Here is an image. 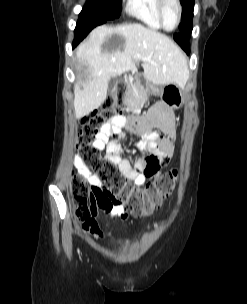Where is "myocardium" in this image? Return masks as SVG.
<instances>
[{
  "label": "myocardium",
  "mask_w": 247,
  "mask_h": 304,
  "mask_svg": "<svg viewBox=\"0 0 247 304\" xmlns=\"http://www.w3.org/2000/svg\"><path fill=\"white\" fill-rule=\"evenodd\" d=\"M174 3L177 6L178 9V18H177V23L173 28H167L164 22V16H163V11H164V7L166 5V3L168 2V0H158V5H157V15H158V19L163 27V29H165L166 31H173L175 29H177L181 23L182 20V4L180 0H173Z\"/></svg>",
  "instance_id": "myocardium-1"
}]
</instances>
